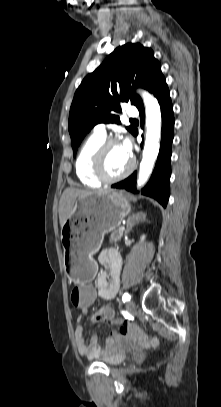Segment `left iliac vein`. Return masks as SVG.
<instances>
[{"label": "left iliac vein", "mask_w": 221, "mask_h": 407, "mask_svg": "<svg viewBox=\"0 0 221 407\" xmlns=\"http://www.w3.org/2000/svg\"><path fill=\"white\" fill-rule=\"evenodd\" d=\"M135 307H136L135 301L134 300H129L127 305H126L127 310L129 312H133L135 310Z\"/></svg>", "instance_id": "obj_1"}]
</instances>
